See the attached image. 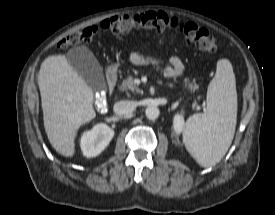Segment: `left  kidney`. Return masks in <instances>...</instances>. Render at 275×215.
<instances>
[{
  "instance_id": "left-kidney-1",
  "label": "left kidney",
  "mask_w": 275,
  "mask_h": 215,
  "mask_svg": "<svg viewBox=\"0 0 275 215\" xmlns=\"http://www.w3.org/2000/svg\"><path fill=\"white\" fill-rule=\"evenodd\" d=\"M173 128L176 134H180L184 129V117L181 114H176L173 119Z\"/></svg>"
}]
</instances>
